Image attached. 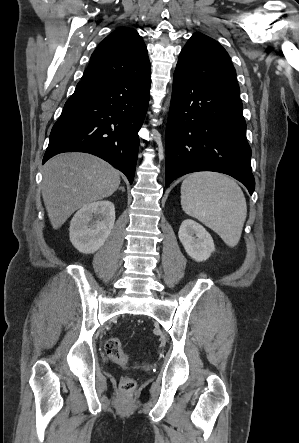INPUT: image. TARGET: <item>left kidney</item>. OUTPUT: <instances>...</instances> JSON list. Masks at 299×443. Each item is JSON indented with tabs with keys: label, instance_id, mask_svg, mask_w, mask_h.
<instances>
[{
	"label": "left kidney",
	"instance_id": "1",
	"mask_svg": "<svg viewBox=\"0 0 299 443\" xmlns=\"http://www.w3.org/2000/svg\"><path fill=\"white\" fill-rule=\"evenodd\" d=\"M178 236L187 254L197 262L207 260L215 250L211 235L194 220H184Z\"/></svg>",
	"mask_w": 299,
	"mask_h": 443
}]
</instances>
